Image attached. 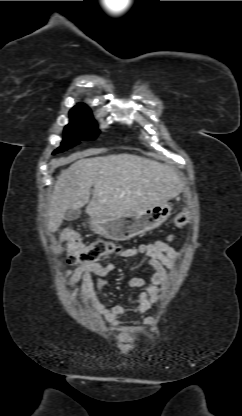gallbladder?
I'll use <instances>...</instances> for the list:
<instances>
[{
    "label": "gallbladder",
    "instance_id": "bac80fb5",
    "mask_svg": "<svg viewBox=\"0 0 242 416\" xmlns=\"http://www.w3.org/2000/svg\"><path fill=\"white\" fill-rule=\"evenodd\" d=\"M81 211L79 209H68L64 214L66 221H73L80 217Z\"/></svg>",
    "mask_w": 242,
    "mask_h": 416
}]
</instances>
